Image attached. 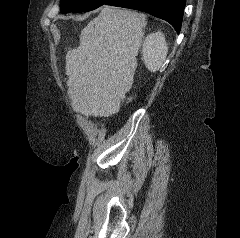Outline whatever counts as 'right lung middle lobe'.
<instances>
[{"label": "right lung middle lobe", "instance_id": "obj_1", "mask_svg": "<svg viewBox=\"0 0 240 238\" xmlns=\"http://www.w3.org/2000/svg\"><path fill=\"white\" fill-rule=\"evenodd\" d=\"M111 1L113 0H61L60 10L62 13L87 12Z\"/></svg>", "mask_w": 240, "mask_h": 238}]
</instances>
